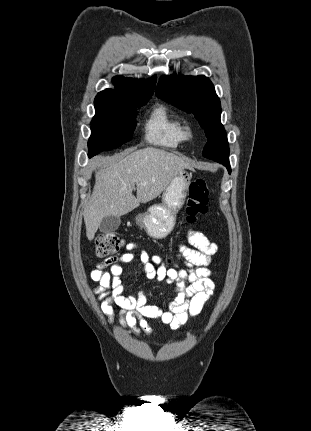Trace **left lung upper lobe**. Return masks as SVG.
<instances>
[{"instance_id":"1","label":"left lung upper lobe","mask_w":311,"mask_h":431,"mask_svg":"<svg viewBox=\"0 0 311 431\" xmlns=\"http://www.w3.org/2000/svg\"><path fill=\"white\" fill-rule=\"evenodd\" d=\"M156 95L172 105L193 113L208 138L202 155L220 162L229 156V144L221 124V104L214 86L205 76H162Z\"/></svg>"}]
</instances>
